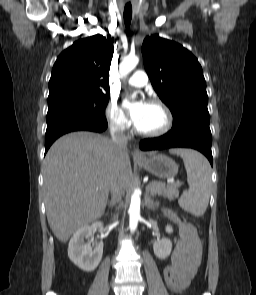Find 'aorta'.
I'll list each match as a JSON object with an SVG mask.
<instances>
[{"instance_id": "1", "label": "aorta", "mask_w": 256, "mask_h": 295, "mask_svg": "<svg viewBox=\"0 0 256 295\" xmlns=\"http://www.w3.org/2000/svg\"><path fill=\"white\" fill-rule=\"evenodd\" d=\"M139 63V58L137 56H127L125 57L119 67L120 75L121 77H125L127 74H129ZM132 97H135L133 95ZM140 190L136 189L134 190L132 196H131V202L129 207V228L131 232H134L138 225V220L140 218Z\"/></svg>"}]
</instances>
